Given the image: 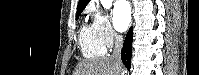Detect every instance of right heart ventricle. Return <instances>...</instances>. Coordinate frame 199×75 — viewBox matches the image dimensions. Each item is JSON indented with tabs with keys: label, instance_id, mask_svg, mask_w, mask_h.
<instances>
[{
	"label": "right heart ventricle",
	"instance_id": "right-heart-ventricle-1",
	"mask_svg": "<svg viewBox=\"0 0 199 75\" xmlns=\"http://www.w3.org/2000/svg\"><path fill=\"white\" fill-rule=\"evenodd\" d=\"M82 54L87 58H99L106 54V47L101 42L95 25L85 23L80 30Z\"/></svg>",
	"mask_w": 199,
	"mask_h": 75
}]
</instances>
